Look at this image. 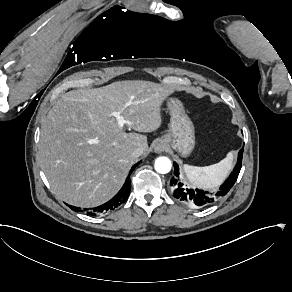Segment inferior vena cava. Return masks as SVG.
<instances>
[{
    "instance_id": "1",
    "label": "inferior vena cava",
    "mask_w": 292,
    "mask_h": 292,
    "mask_svg": "<svg viewBox=\"0 0 292 292\" xmlns=\"http://www.w3.org/2000/svg\"><path fill=\"white\" fill-rule=\"evenodd\" d=\"M143 153V149L142 148H136L133 152V157H140Z\"/></svg>"
}]
</instances>
